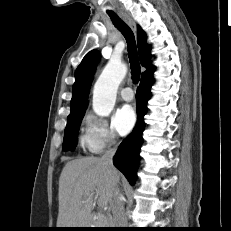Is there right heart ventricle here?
<instances>
[{
    "label": "right heart ventricle",
    "instance_id": "e07e8e85",
    "mask_svg": "<svg viewBox=\"0 0 231 231\" xmlns=\"http://www.w3.org/2000/svg\"><path fill=\"white\" fill-rule=\"evenodd\" d=\"M80 145L82 146L83 149H87L91 152H95L93 141L87 133H84L80 136Z\"/></svg>",
    "mask_w": 231,
    "mask_h": 231
}]
</instances>
